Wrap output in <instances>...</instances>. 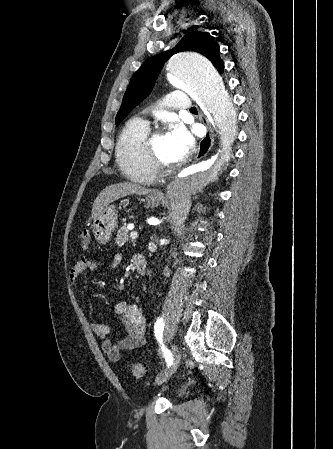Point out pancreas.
<instances>
[{"instance_id":"obj_1","label":"pancreas","mask_w":333,"mask_h":449,"mask_svg":"<svg viewBox=\"0 0 333 449\" xmlns=\"http://www.w3.org/2000/svg\"><path fill=\"white\" fill-rule=\"evenodd\" d=\"M130 239L129 230L126 224H124L117 232L115 244L122 246Z\"/></svg>"}]
</instances>
